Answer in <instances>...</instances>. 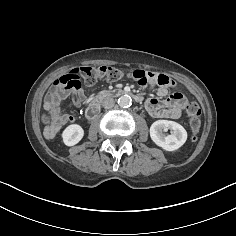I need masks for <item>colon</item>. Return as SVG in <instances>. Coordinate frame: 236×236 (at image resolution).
<instances>
[{
  "label": "colon",
  "instance_id": "obj_1",
  "mask_svg": "<svg viewBox=\"0 0 236 236\" xmlns=\"http://www.w3.org/2000/svg\"><path fill=\"white\" fill-rule=\"evenodd\" d=\"M125 76V72L121 69L110 66H83L71 70L61 76L51 87L50 96L55 100L62 99L67 91L78 90L82 83L93 85L98 80L106 79L109 81H117ZM133 77L140 85L148 83L149 75L144 71H134ZM189 115V124L192 132V139L196 140L199 129L201 127V109L200 106L192 102L187 106Z\"/></svg>",
  "mask_w": 236,
  "mask_h": 236
}]
</instances>
